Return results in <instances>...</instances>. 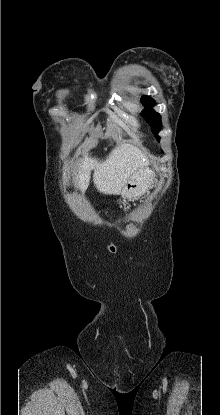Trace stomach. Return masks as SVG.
<instances>
[{
  "instance_id": "obj_1",
  "label": "stomach",
  "mask_w": 220,
  "mask_h": 415,
  "mask_svg": "<svg viewBox=\"0 0 220 415\" xmlns=\"http://www.w3.org/2000/svg\"><path fill=\"white\" fill-rule=\"evenodd\" d=\"M155 174L147 167H141L131 175L121 189V195L127 199H136L142 196L153 184Z\"/></svg>"
}]
</instances>
